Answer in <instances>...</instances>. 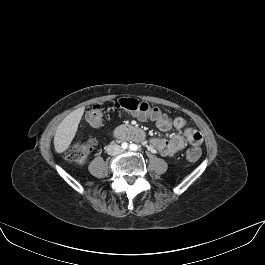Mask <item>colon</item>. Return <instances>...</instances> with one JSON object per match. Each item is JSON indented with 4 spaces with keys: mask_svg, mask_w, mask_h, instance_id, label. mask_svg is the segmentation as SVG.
<instances>
[{
    "mask_svg": "<svg viewBox=\"0 0 265 265\" xmlns=\"http://www.w3.org/2000/svg\"><path fill=\"white\" fill-rule=\"evenodd\" d=\"M115 109H122L135 114L145 115L148 117H161L164 114L154 105L145 101H140L135 98H121L113 104ZM103 119V107L101 105H94L86 112V121L92 125L97 126ZM93 147L92 141H77L73 143L66 151V157L77 163H85L91 154ZM201 156L199 147L193 146L187 151V159L196 161Z\"/></svg>",
    "mask_w": 265,
    "mask_h": 265,
    "instance_id": "obj_1",
    "label": "colon"
}]
</instances>
